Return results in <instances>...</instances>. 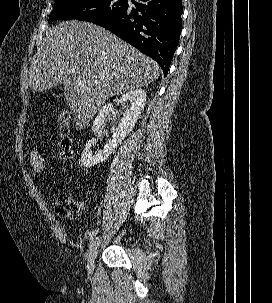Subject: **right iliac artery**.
Returning a JSON list of instances; mask_svg holds the SVG:
<instances>
[{"label":"right iliac artery","instance_id":"82829eb1","mask_svg":"<svg viewBox=\"0 0 272 303\" xmlns=\"http://www.w3.org/2000/svg\"><path fill=\"white\" fill-rule=\"evenodd\" d=\"M97 233H98V230H93L92 232L89 233L88 239L89 240L93 239Z\"/></svg>","mask_w":272,"mask_h":303}]
</instances>
